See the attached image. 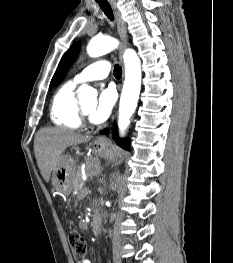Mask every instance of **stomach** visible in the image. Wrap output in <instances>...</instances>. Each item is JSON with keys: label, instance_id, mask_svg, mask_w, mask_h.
<instances>
[{"label": "stomach", "instance_id": "0dacf381", "mask_svg": "<svg viewBox=\"0 0 233 263\" xmlns=\"http://www.w3.org/2000/svg\"><path fill=\"white\" fill-rule=\"evenodd\" d=\"M93 152L102 157H111L112 151L106 145L93 144ZM75 163L72 158L61 156L57 168L53 171L52 186L57 194L68 195L72 190V177Z\"/></svg>", "mask_w": 233, "mask_h": 263}]
</instances>
